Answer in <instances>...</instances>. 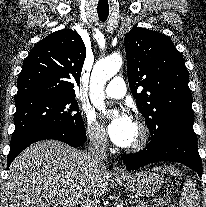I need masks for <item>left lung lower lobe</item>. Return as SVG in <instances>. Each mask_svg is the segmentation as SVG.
<instances>
[{"label": "left lung lower lobe", "mask_w": 206, "mask_h": 207, "mask_svg": "<svg viewBox=\"0 0 206 207\" xmlns=\"http://www.w3.org/2000/svg\"><path fill=\"white\" fill-rule=\"evenodd\" d=\"M158 161L183 163L202 176V161L198 152L197 137L192 129L173 132L154 147L124 157L126 169L135 170Z\"/></svg>", "instance_id": "0a47b994"}]
</instances>
